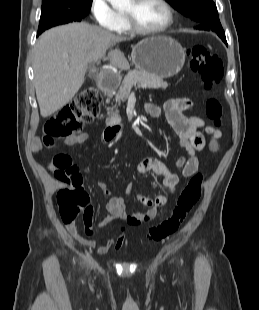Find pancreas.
Here are the masks:
<instances>
[{
	"mask_svg": "<svg viewBox=\"0 0 259 310\" xmlns=\"http://www.w3.org/2000/svg\"><path fill=\"white\" fill-rule=\"evenodd\" d=\"M132 87H135L136 89L139 87L148 89H166L168 87V83L164 82L160 77L152 76L144 72L137 70L129 71L116 93L117 102L124 101L129 96ZM120 122L121 118L119 117L117 110L115 112L108 113V124Z\"/></svg>",
	"mask_w": 259,
	"mask_h": 310,
	"instance_id": "cf45deb5",
	"label": "pancreas"
}]
</instances>
